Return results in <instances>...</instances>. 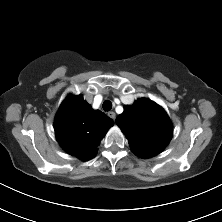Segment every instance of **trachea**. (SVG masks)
Wrapping results in <instances>:
<instances>
[{"mask_svg": "<svg viewBox=\"0 0 222 222\" xmlns=\"http://www.w3.org/2000/svg\"><path fill=\"white\" fill-rule=\"evenodd\" d=\"M105 111H110L112 109V103L109 100H105L102 105Z\"/></svg>", "mask_w": 222, "mask_h": 222, "instance_id": "trachea-1", "label": "trachea"}]
</instances>
